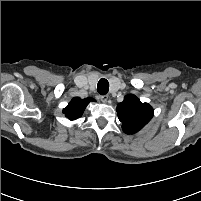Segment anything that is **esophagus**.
<instances>
[{"instance_id": "esophagus-1", "label": "esophagus", "mask_w": 201, "mask_h": 201, "mask_svg": "<svg viewBox=\"0 0 201 201\" xmlns=\"http://www.w3.org/2000/svg\"><path fill=\"white\" fill-rule=\"evenodd\" d=\"M99 99L103 102L106 103L108 101V95H102L99 97Z\"/></svg>"}]
</instances>
